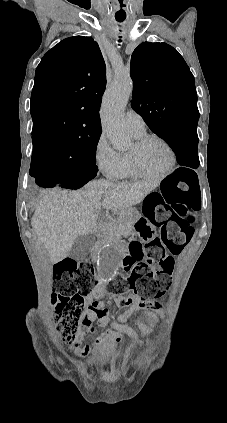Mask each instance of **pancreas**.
<instances>
[{
  "instance_id": "obj_1",
  "label": "pancreas",
  "mask_w": 227,
  "mask_h": 423,
  "mask_svg": "<svg viewBox=\"0 0 227 423\" xmlns=\"http://www.w3.org/2000/svg\"><path fill=\"white\" fill-rule=\"evenodd\" d=\"M117 217H113L110 223L104 225L106 231H109L105 239H120L122 235L127 237L133 231V223L128 219L124 210H119L116 213Z\"/></svg>"
}]
</instances>
